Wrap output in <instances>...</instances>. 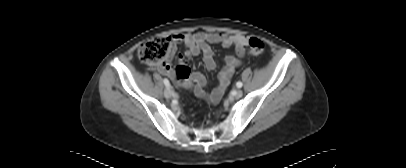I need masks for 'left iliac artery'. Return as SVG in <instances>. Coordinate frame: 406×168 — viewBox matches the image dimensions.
I'll return each mask as SVG.
<instances>
[{"mask_svg": "<svg viewBox=\"0 0 406 168\" xmlns=\"http://www.w3.org/2000/svg\"><path fill=\"white\" fill-rule=\"evenodd\" d=\"M236 86H237L238 88H241V87L243 86V84H242V82L239 81V82L236 83Z\"/></svg>", "mask_w": 406, "mask_h": 168, "instance_id": "obj_1", "label": "left iliac artery"}]
</instances>
